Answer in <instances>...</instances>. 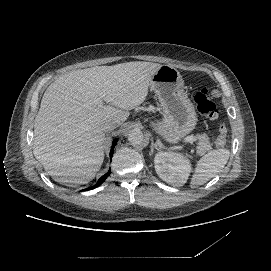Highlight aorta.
Listing matches in <instances>:
<instances>
[{
    "mask_svg": "<svg viewBox=\"0 0 271 271\" xmlns=\"http://www.w3.org/2000/svg\"><path fill=\"white\" fill-rule=\"evenodd\" d=\"M144 140V135L142 131L135 130L129 133L128 141L132 146H139Z\"/></svg>",
    "mask_w": 271,
    "mask_h": 271,
    "instance_id": "obj_1",
    "label": "aorta"
}]
</instances>
